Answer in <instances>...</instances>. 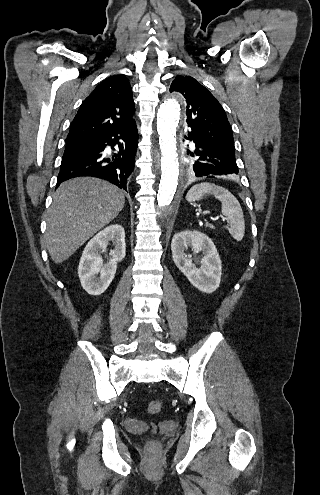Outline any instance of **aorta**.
Segmentation results:
<instances>
[{
	"label": "aorta",
	"instance_id": "obj_1",
	"mask_svg": "<svg viewBox=\"0 0 320 495\" xmlns=\"http://www.w3.org/2000/svg\"><path fill=\"white\" fill-rule=\"evenodd\" d=\"M184 99L173 93L160 106L157 113V131L161 150V179L157 199L150 208L151 227L161 228L164 218L175 211L174 195L178 186L179 162L176 130Z\"/></svg>",
	"mask_w": 320,
	"mask_h": 495
}]
</instances>
